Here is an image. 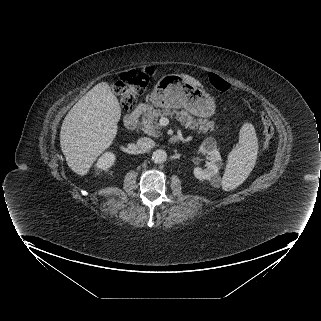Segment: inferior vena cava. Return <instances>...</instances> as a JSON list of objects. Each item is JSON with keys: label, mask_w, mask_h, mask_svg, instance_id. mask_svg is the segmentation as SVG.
<instances>
[{"label": "inferior vena cava", "mask_w": 321, "mask_h": 321, "mask_svg": "<svg viewBox=\"0 0 321 321\" xmlns=\"http://www.w3.org/2000/svg\"><path fill=\"white\" fill-rule=\"evenodd\" d=\"M137 146L142 151H147L155 146V142L151 138L142 137L137 140Z\"/></svg>", "instance_id": "1"}]
</instances>
